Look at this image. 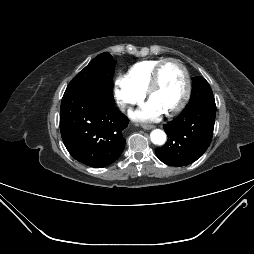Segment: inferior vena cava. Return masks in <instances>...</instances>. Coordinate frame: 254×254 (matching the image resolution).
<instances>
[{"label": "inferior vena cava", "instance_id": "1", "mask_svg": "<svg viewBox=\"0 0 254 254\" xmlns=\"http://www.w3.org/2000/svg\"><path fill=\"white\" fill-rule=\"evenodd\" d=\"M119 108L123 111L126 107V105L124 103H119L118 104Z\"/></svg>", "mask_w": 254, "mask_h": 254}]
</instances>
